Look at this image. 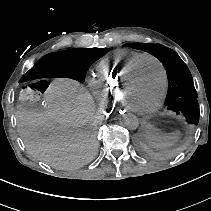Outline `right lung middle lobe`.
<instances>
[{"label":"right lung middle lobe","instance_id":"obj_1","mask_svg":"<svg viewBox=\"0 0 211 211\" xmlns=\"http://www.w3.org/2000/svg\"><path fill=\"white\" fill-rule=\"evenodd\" d=\"M108 48H80V49H74L71 51L78 52L79 57V63L80 67L78 72L71 76V78H74L80 82L84 81L85 73L88 70V68L99 58L104 56L108 52Z\"/></svg>","mask_w":211,"mask_h":211}]
</instances>
